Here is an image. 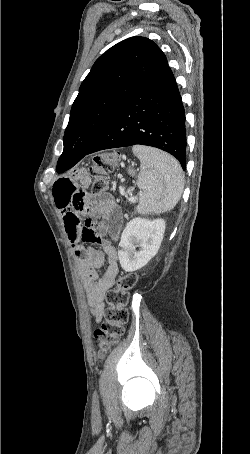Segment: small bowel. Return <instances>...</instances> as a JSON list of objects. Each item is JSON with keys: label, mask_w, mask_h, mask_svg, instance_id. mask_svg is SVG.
<instances>
[{"label": "small bowel", "mask_w": 250, "mask_h": 454, "mask_svg": "<svg viewBox=\"0 0 250 454\" xmlns=\"http://www.w3.org/2000/svg\"><path fill=\"white\" fill-rule=\"evenodd\" d=\"M89 184L90 178L83 171L73 178H60L53 185V197L62 214L67 237L77 258L92 316L96 322H100L105 312V295L114 285L119 271L114 241L121 232L123 215L110 194L92 195L85 192L83 189ZM83 243L98 244L101 248L85 247ZM105 261L107 266L99 275L98 269Z\"/></svg>", "instance_id": "small-bowel-1"}]
</instances>
